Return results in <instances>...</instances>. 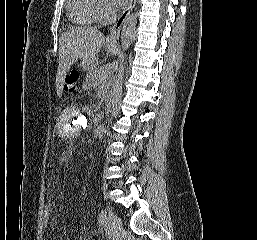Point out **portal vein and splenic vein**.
Listing matches in <instances>:
<instances>
[{
	"label": "portal vein and splenic vein",
	"instance_id": "1",
	"mask_svg": "<svg viewBox=\"0 0 257 240\" xmlns=\"http://www.w3.org/2000/svg\"><path fill=\"white\" fill-rule=\"evenodd\" d=\"M104 80H106V79H101V82L104 81Z\"/></svg>",
	"mask_w": 257,
	"mask_h": 240
}]
</instances>
